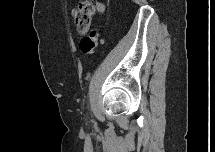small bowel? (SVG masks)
Here are the masks:
<instances>
[{
    "mask_svg": "<svg viewBox=\"0 0 215 152\" xmlns=\"http://www.w3.org/2000/svg\"><path fill=\"white\" fill-rule=\"evenodd\" d=\"M97 10L99 11V12H104V5L102 4V3H97Z\"/></svg>",
    "mask_w": 215,
    "mask_h": 152,
    "instance_id": "1",
    "label": "small bowel"
}]
</instances>
